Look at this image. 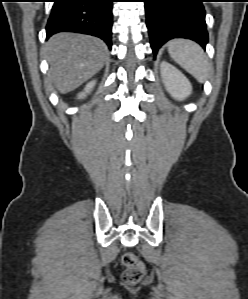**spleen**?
Returning a JSON list of instances; mask_svg holds the SVG:
<instances>
[{"mask_svg": "<svg viewBox=\"0 0 248 299\" xmlns=\"http://www.w3.org/2000/svg\"><path fill=\"white\" fill-rule=\"evenodd\" d=\"M172 59L183 69L203 83L208 76V60L203 49L195 42L174 39L168 43Z\"/></svg>", "mask_w": 248, "mask_h": 299, "instance_id": "3e777b00", "label": "spleen"}]
</instances>
